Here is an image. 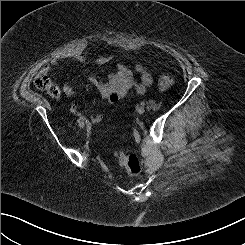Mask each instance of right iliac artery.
Listing matches in <instances>:
<instances>
[{
	"label": "right iliac artery",
	"instance_id": "1",
	"mask_svg": "<svg viewBox=\"0 0 245 245\" xmlns=\"http://www.w3.org/2000/svg\"><path fill=\"white\" fill-rule=\"evenodd\" d=\"M77 122L79 123V126L83 123L80 119H78Z\"/></svg>",
	"mask_w": 245,
	"mask_h": 245
}]
</instances>
